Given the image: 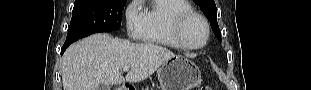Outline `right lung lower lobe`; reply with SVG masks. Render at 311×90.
Here are the masks:
<instances>
[{"label":"right lung lower lobe","instance_id":"1","mask_svg":"<svg viewBox=\"0 0 311 90\" xmlns=\"http://www.w3.org/2000/svg\"><path fill=\"white\" fill-rule=\"evenodd\" d=\"M68 46H69L68 44H64V45H63L61 54H63V52L66 50V48H67Z\"/></svg>","mask_w":311,"mask_h":90}]
</instances>
